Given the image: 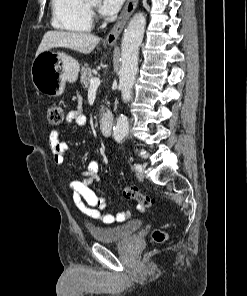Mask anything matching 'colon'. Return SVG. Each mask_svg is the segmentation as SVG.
<instances>
[{"label": "colon", "instance_id": "colon-1", "mask_svg": "<svg viewBox=\"0 0 247 296\" xmlns=\"http://www.w3.org/2000/svg\"><path fill=\"white\" fill-rule=\"evenodd\" d=\"M47 122L50 126L58 127L64 122V110L60 105L52 104L47 108L46 112ZM123 195L128 198L137 201L144 207H151L155 201L151 197L144 195L138 191L137 188L132 186H126L123 189ZM152 239L155 243H163L166 240V233L162 229H155L152 232Z\"/></svg>", "mask_w": 247, "mask_h": 296}]
</instances>
